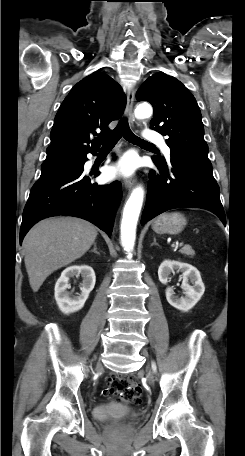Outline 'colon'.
Wrapping results in <instances>:
<instances>
[{"mask_svg": "<svg viewBox=\"0 0 245 456\" xmlns=\"http://www.w3.org/2000/svg\"><path fill=\"white\" fill-rule=\"evenodd\" d=\"M103 394L129 404H138L141 400L142 388L130 377L113 376L108 379Z\"/></svg>", "mask_w": 245, "mask_h": 456, "instance_id": "obj_1", "label": "colon"}]
</instances>
